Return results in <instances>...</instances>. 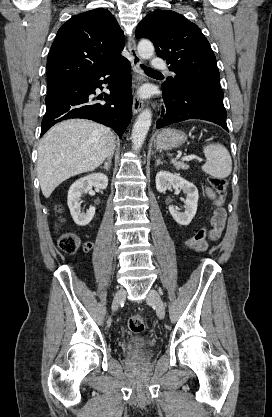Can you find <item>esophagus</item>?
I'll list each match as a JSON object with an SVG mask.
<instances>
[{
  "label": "esophagus",
  "instance_id": "34e87169",
  "mask_svg": "<svg viewBox=\"0 0 272 417\" xmlns=\"http://www.w3.org/2000/svg\"><path fill=\"white\" fill-rule=\"evenodd\" d=\"M127 46L132 57V69L136 75V82L137 84H140L144 80L145 77L141 69L142 60L137 53L136 43H135V39L133 36H130L128 38ZM143 106H144L143 101L138 97L137 94H135L134 99H133V106H132L133 114L139 113L143 109Z\"/></svg>",
  "mask_w": 272,
  "mask_h": 417
}]
</instances>
